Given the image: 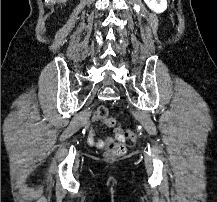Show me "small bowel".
<instances>
[{
    "mask_svg": "<svg viewBox=\"0 0 217 202\" xmlns=\"http://www.w3.org/2000/svg\"><path fill=\"white\" fill-rule=\"evenodd\" d=\"M98 118H99V115H98V113H97V114H95V115L93 116V122H94V123L100 122ZM103 122H104V121H103ZM109 127H114L116 139H118L119 141H123V140H124L125 135H123L122 129L117 126V121H116V123L114 124V126H109ZM95 134H96V133H95L94 128H90V129L88 130L87 142H88V144H89L90 146H93V147H96V148H98V149H101V148H103V147L105 146L106 143H108V142L111 141V139H106V140L97 139V138L95 137Z\"/></svg>",
    "mask_w": 217,
    "mask_h": 202,
    "instance_id": "obj_1",
    "label": "small bowel"
}]
</instances>
